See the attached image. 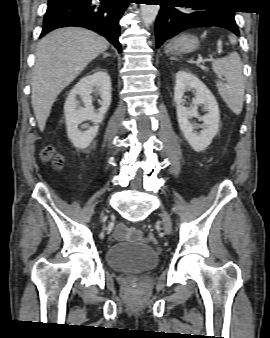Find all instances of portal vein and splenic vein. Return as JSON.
Returning <instances> with one entry per match:
<instances>
[{
	"label": "portal vein and splenic vein",
	"mask_w": 270,
	"mask_h": 338,
	"mask_svg": "<svg viewBox=\"0 0 270 338\" xmlns=\"http://www.w3.org/2000/svg\"><path fill=\"white\" fill-rule=\"evenodd\" d=\"M202 62H203V59H202V57L198 58V60H197V64H200V63H202Z\"/></svg>",
	"instance_id": "portal-vein-and-splenic-vein-1"
}]
</instances>
